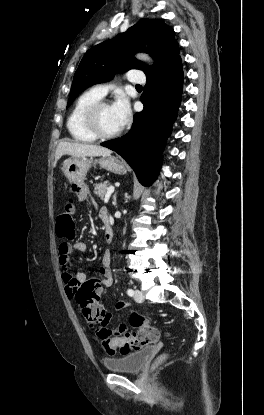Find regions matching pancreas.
I'll return each instance as SVG.
<instances>
[{"instance_id": "1", "label": "pancreas", "mask_w": 264, "mask_h": 415, "mask_svg": "<svg viewBox=\"0 0 264 415\" xmlns=\"http://www.w3.org/2000/svg\"><path fill=\"white\" fill-rule=\"evenodd\" d=\"M108 183H99L94 185V194L99 198L103 199L109 189Z\"/></svg>"}]
</instances>
